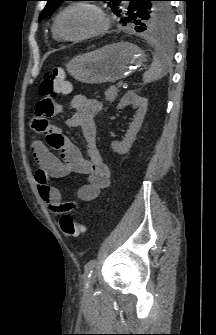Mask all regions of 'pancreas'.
I'll return each instance as SVG.
<instances>
[{"instance_id": "obj_1", "label": "pancreas", "mask_w": 216, "mask_h": 335, "mask_svg": "<svg viewBox=\"0 0 216 335\" xmlns=\"http://www.w3.org/2000/svg\"><path fill=\"white\" fill-rule=\"evenodd\" d=\"M104 95L106 101L112 103L118 96V88L115 85H113L107 91H105Z\"/></svg>"}]
</instances>
